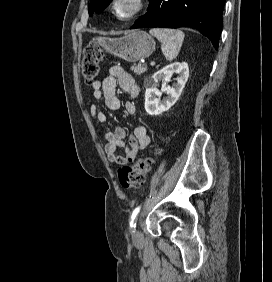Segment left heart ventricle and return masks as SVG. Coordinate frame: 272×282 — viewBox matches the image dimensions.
<instances>
[{
	"mask_svg": "<svg viewBox=\"0 0 272 282\" xmlns=\"http://www.w3.org/2000/svg\"><path fill=\"white\" fill-rule=\"evenodd\" d=\"M132 0H124L118 7L119 14L125 16L133 10Z\"/></svg>",
	"mask_w": 272,
	"mask_h": 282,
	"instance_id": "b2bd125f",
	"label": "left heart ventricle"
}]
</instances>
